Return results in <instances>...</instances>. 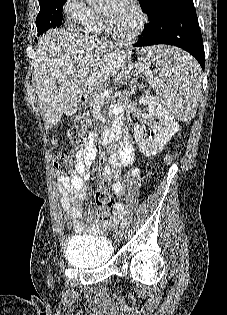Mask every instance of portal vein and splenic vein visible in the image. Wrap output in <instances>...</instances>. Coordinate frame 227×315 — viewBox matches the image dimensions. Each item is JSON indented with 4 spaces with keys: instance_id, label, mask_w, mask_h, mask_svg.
Masks as SVG:
<instances>
[{
    "instance_id": "1",
    "label": "portal vein and splenic vein",
    "mask_w": 227,
    "mask_h": 315,
    "mask_svg": "<svg viewBox=\"0 0 227 315\" xmlns=\"http://www.w3.org/2000/svg\"><path fill=\"white\" fill-rule=\"evenodd\" d=\"M137 66H141V65H139V64H136ZM131 69V68H130ZM129 73V71H122L120 74H118L117 75V77L114 79V82H117L118 80H120L121 78H123L124 77V75L125 74H128ZM147 78H148V81H149V83L150 84H152V85H157L158 83H159V80L158 79H153V76H152V73H151V71L148 69L147 70ZM95 79L93 78V77H89L88 79H87V83L88 84H90V85H95ZM110 92H111V90H104L102 93H100L98 96L99 97H101V98H105V96H107V95H109L110 94Z\"/></svg>"
}]
</instances>
